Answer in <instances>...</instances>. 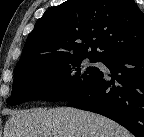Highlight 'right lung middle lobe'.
I'll use <instances>...</instances> for the list:
<instances>
[{"mask_svg": "<svg viewBox=\"0 0 144 137\" xmlns=\"http://www.w3.org/2000/svg\"><path fill=\"white\" fill-rule=\"evenodd\" d=\"M85 59L68 57L16 66L12 93L7 101L17 105L39 98L54 102L76 97L101 74L98 68L87 67Z\"/></svg>", "mask_w": 144, "mask_h": 137, "instance_id": "dd1d6c3e", "label": "right lung middle lobe"}]
</instances>
